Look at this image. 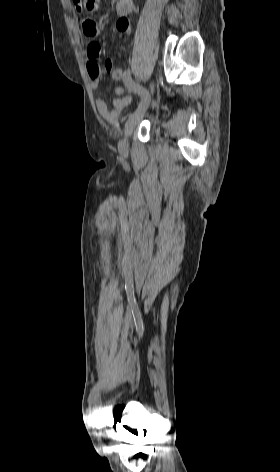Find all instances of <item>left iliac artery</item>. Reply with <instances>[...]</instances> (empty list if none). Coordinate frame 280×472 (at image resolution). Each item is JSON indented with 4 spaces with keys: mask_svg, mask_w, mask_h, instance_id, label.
<instances>
[{
    "mask_svg": "<svg viewBox=\"0 0 280 472\" xmlns=\"http://www.w3.org/2000/svg\"><path fill=\"white\" fill-rule=\"evenodd\" d=\"M122 80H123L125 88H127L128 90L140 96L141 99L138 104L137 110L145 106V104L148 101L149 93L145 88L141 87L132 79L130 69H126L123 72Z\"/></svg>",
    "mask_w": 280,
    "mask_h": 472,
    "instance_id": "44dca946",
    "label": "left iliac artery"
}]
</instances>
